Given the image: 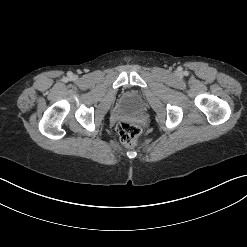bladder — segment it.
I'll return each mask as SVG.
<instances>
[{"instance_id":"31cf9c89","label":"bladder","mask_w":247,"mask_h":247,"mask_svg":"<svg viewBox=\"0 0 247 247\" xmlns=\"http://www.w3.org/2000/svg\"><path fill=\"white\" fill-rule=\"evenodd\" d=\"M123 105L128 112H138L142 107V98L137 92L131 91L125 95Z\"/></svg>"}]
</instances>
